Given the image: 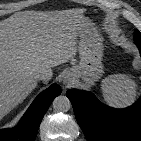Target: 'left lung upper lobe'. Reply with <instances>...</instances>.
I'll return each mask as SVG.
<instances>
[{
	"label": "left lung upper lobe",
	"instance_id": "1",
	"mask_svg": "<svg viewBox=\"0 0 141 141\" xmlns=\"http://www.w3.org/2000/svg\"><path fill=\"white\" fill-rule=\"evenodd\" d=\"M134 40H141V33L138 30L134 32Z\"/></svg>",
	"mask_w": 141,
	"mask_h": 141
}]
</instances>
